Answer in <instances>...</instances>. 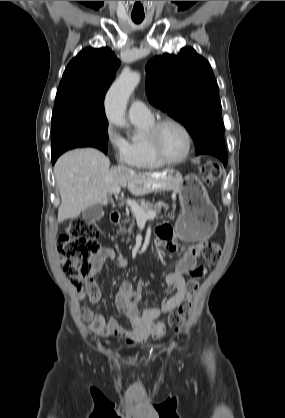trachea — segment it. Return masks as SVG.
I'll list each match as a JSON object with an SVG mask.
<instances>
[{"label": "trachea", "instance_id": "trachea-1", "mask_svg": "<svg viewBox=\"0 0 285 418\" xmlns=\"http://www.w3.org/2000/svg\"><path fill=\"white\" fill-rule=\"evenodd\" d=\"M143 19H144V17H138V16L132 17V20L137 24L141 23L143 21Z\"/></svg>", "mask_w": 285, "mask_h": 418}]
</instances>
